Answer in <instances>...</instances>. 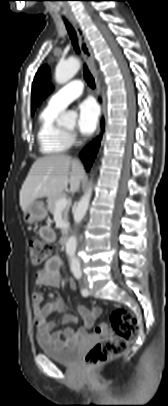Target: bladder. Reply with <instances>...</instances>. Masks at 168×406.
Instances as JSON below:
<instances>
[{
	"label": "bladder",
	"instance_id": "bladder-1",
	"mask_svg": "<svg viewBox=\"0 0 168 406\" xmlns=\"http://www.w3.org/2000/svg\"><path fill=\"white\" fill-rule=\"evenodd\" d=\"M41 351L56 362L72 365L77 362L80 355L78 346H58L41 337L37 338Z\"/></svg>",
	"mask_w": 168,
	"mask_h": 406
}]
</instances>
